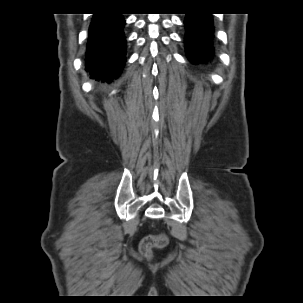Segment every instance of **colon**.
Segmentation results:
<instances>
[{"instance_id": "5ec220e1", "label": "colon", "mask_w": 303, "mask_h": 303, "mask_svg": "<svg viewBox=\"0 0 303 303\" xmlns=\"http://www.w3.org/2000/svg\"><path fill=\"white\" fill-rule=\"evenodd\" d=\"M168 244V238L165 234H158L145 238L140 246L141 254L149 259L155 249H162Z\"/></svg>"}]
</instances>
